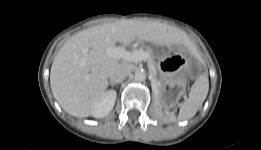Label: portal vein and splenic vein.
<instances>
[{
  "mask_svg": "<svg viewBox=\"0 0 261 150\" xmlns=\"http://www.w3.org/2000/svg\"><path fill=\"white\" fill-rule=\"evenodd\" d=\"M106 53L111 57L127 62H140L146 61L148 59V55L145 51L134 50L132 52H129L125 49V47H109L107 48ZM149 71L152 72L150 67Z\"/></svg>",
  "mask_w": 261,
  "mask_h": 150,
  "instance_id": "obj_1",
  "label": "portal vein and splenic vein"
}]
</instances>
